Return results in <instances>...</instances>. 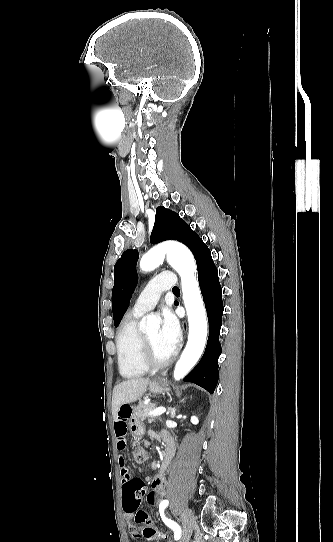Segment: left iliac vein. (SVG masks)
Listing matches in <instances>:
<instances>
[{
    "instance_id": "obj_1",
    "label": "left iliac vein",
    "mask_w": 333,
    "mask_h": 542,
    "mask_svg": "<svg viewBox=\"0 0 333 542\" xmlns=\"http://www.w3.org/2000/svg\"><path fill=\"white\" fill-rule=\"evenodd\" d=\"M183 536L180 542H188L195 527V518L189 508H184L181 512Z\"/></svg>"
}]
</instances>
